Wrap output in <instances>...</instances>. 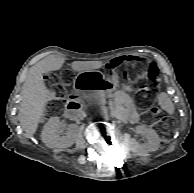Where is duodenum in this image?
<instances>
[{
  "label": "duodenum",
  "mask_w": 194,
  "mask_h": 193,
  "mask_svg": "<svg viewBox=\"0 0 194 193\" xmlns=\"http://www.w3.org/2000/svg\"><path fill=\"white\" fill-rule=\"evenodd\" d=\"M82 98L78 95H71L67 101L65 109V117L73 118L81 114L82 111Z\"/></svg>",
  "instance_id": "duodenum-1"
}]
</instances>
